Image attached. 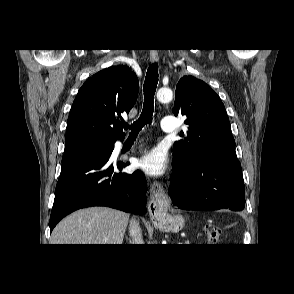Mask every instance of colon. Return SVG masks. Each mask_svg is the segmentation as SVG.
Listing matches in <instances>:
<instances>
[{
  "instance_id": "colon-1",
  "label": "colon",
  "mask_w": 294,
  "mask_h": 294,
  "mask_svg": "<svg viewBox=\"0 0 294 294\" xmlns=\"http://www.w3.org/2000/svg\"><path fill=\"white\" fill-rule=\"evenodd\" d=\"M205 234L209 245H216L221 234V228L217 224L209 223L205 227Z\"/></svg>"
}]
</instances>
